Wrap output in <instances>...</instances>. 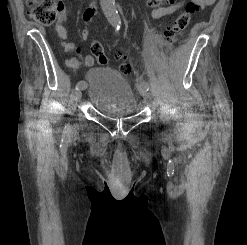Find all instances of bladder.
Here are the masks:
<instances>
[{"label":"bladder","instance_id":"bladder-1","mask_svg":"<svg viewBox=\"0 0 247 245\" xmlns=\"http://www.w3.org/2000/svg\"><path fill=\"white\" fill-rule=\"evenodd\" d=\"M88 99L102 114L128 116L138 109L137 96L128 80L118 71L93 67L87 73Z\"/></svg>","mask_w":247,"mask_h":245}]
</instances>
